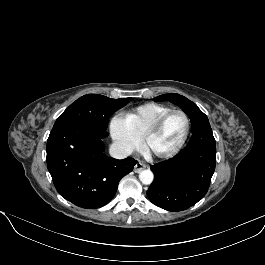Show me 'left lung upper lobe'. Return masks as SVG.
<instances>
[{"instance_id": "left-lung-upper-lobe-1", "label": "left lung upper lobe", "mask_w": 265, "mask_h": 265, "mask_svg": "<svg viewBox=\"0 0 265 265\" xmlns=\"http://www.w3.org/2000/svg\"><path fill=\"white\" fill-rule=\"evenodd\" d=\"M154 101H170L178 105L191 119L192 131L206 125H210L207 116L197 107V105L186 97L176 94H164L153 99Z\"/></svg>"}]
</instances>
